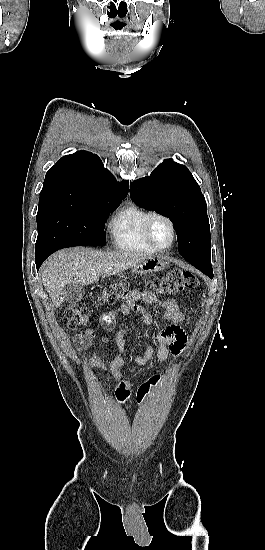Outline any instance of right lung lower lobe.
I'll list each match as a JSON object with an SVG mask.
<instances>
[{"mask_svg": "<svg viewBox=\"0 0 265 550\" xmlns=\"http://www.w3.org/2000/svg\"><path fill=\"white\" fill-rule=\"evenodd\" d=\"M49 255L47 254H41V255H35V263H36V268L37 270L40 268L41 264L43 263V261L48 257Z\"/></svg>", "mask_w": 265, "mask_h": 550, "instance_id": "98d812e1", "label": "right lung lower lobe"}]
</instances>
